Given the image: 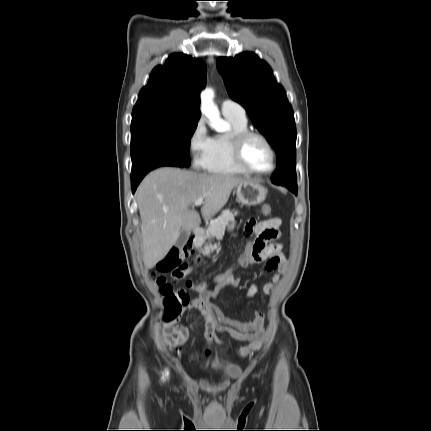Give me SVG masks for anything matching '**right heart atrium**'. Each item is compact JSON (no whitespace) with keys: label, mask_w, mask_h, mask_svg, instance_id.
Masks as SVG:
<instances>
[{"label":"right heart atrium","mask_w":431,"mask_h":431,"mask_svg":"<svg viewBox=\"0 0 431 431\" xmlns=\"http://www.w3.org/2000/svg\"><path fill=\"white\" fill-rule=\"evenodd\" d=\"M213 138L209 135L203 119H199L188 136V152L192 166L198 170H205L211 160Z\"/></svg>","instance_id":"1"}]
</instances>
